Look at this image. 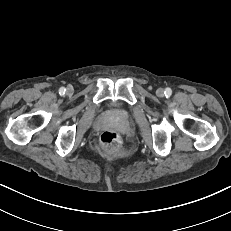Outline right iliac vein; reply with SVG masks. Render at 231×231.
Segmentation results:
<instances>
[{"label":"right iliac vein","instance_id":"obj_1","mask_svg":"<svg viewBox=\"0 0 231 231\" xmlns=\"http://www.w3.org/2000/svg\"><path fill=\"white\" fill-rule=\"evenodd\" d=\"M72 92H73V88H72L71 86H69V87L67 88V93L70 94V93H72Z\"/></svg>","mask_w":231,"mask_h":231}]
</instances>
